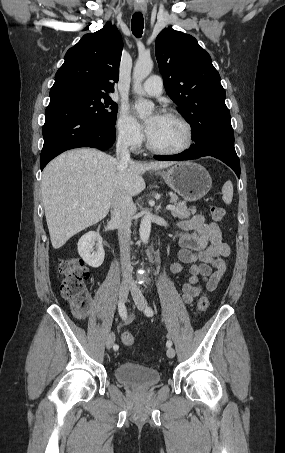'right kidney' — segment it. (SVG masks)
<instances>
[{"label":"right kidney","instance_id":"right-kidney-1","mask_svg":"<svg viewBox=\"0 0 285 453\" xmlns=\"http://www.w3.org/2000/svg\"><path fill=\"white\" fill-rule=\"evenodd\" d=\"M95 241H97L96 245L98 246L96 252L93 251ZM78 253L89 266L93 268L100 267L105 257L102 237L93 231L84 234L78 241Z\"/></svg>","mask_w":285,"mask_h":453}]
</instances>
